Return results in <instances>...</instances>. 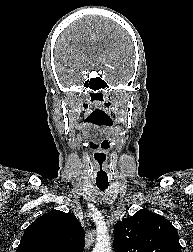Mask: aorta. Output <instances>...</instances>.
<instances>
[{"instance_id":"762f6f07","label":"aorta","mask_w":193,"mask_h":252,"mask_svg":"<svg viewBox=\"0 0 193 252\" xmlns=\"http://www.w3.org/2000/svg\"><path fill=\"white\" fill-rule=\"evenodd\" d=\"M92 252H111L109 240H98Z\"/></svg>"}]
</instances>
